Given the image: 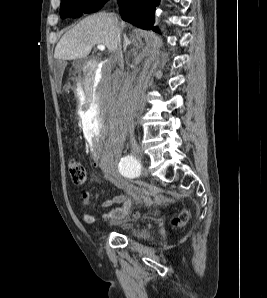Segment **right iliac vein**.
Masks as SVG:
<instances>
[{"label":"right iliac vein","mask_w":267,"mask_h":298,"mask_svg":"<svg viewBox=\"0 0 267 298\" xmlns=\"http://www.w3.org/2000/svg\"><path fill=\"white\" fill-rule=\"evenodd\" d=\"M131 151L135 158H137L138 160L142 159L143 155H142V152L137 144L132 145Z\"/></svg>","instance_id":"obj_1"}]
</instances>
